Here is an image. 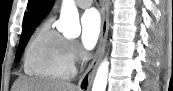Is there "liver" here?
Here are the masks:
<instances>
[{
  "instance_id": "6515ba94",
  "label": "liver",
  "mask_w": 173,
  "mask_h": 91,
  "mask_svg": "<svg viewBox=\"0 0 173 91\" xmlns=\"http://www.w3.org/2000/svg\"><path fill=\"white\" fill-rule=\"evenodd\" d=\"M12 91H76V86L61 80H39L20 77L15 81Z\"/></svg>"
}]
</instances>
